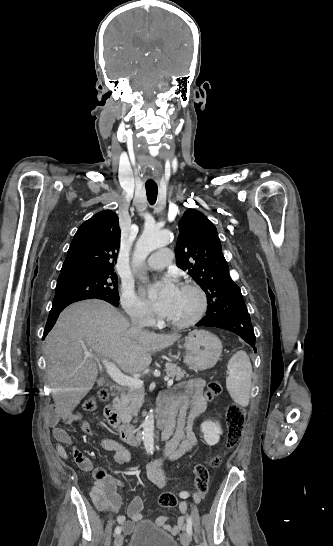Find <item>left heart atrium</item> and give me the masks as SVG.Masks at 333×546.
I'll return each mask as SVG.
<instances>
[{"label": "left heart atrium", "instance_id": "1", "mask_svg": "<svg viewBox=\"0 0 333 546\" xmlns=\"http://www.w3.org/2000/svg\"><path fill=\"white\" fill-rule=\"evenodd\" d=\"M179 288L174 280L168 276L161 282L148 287L144 294L149 306L160 316L168 317Z\"/></svg>", "mask_w": 333, "mask_h": 546}]
</instances>
